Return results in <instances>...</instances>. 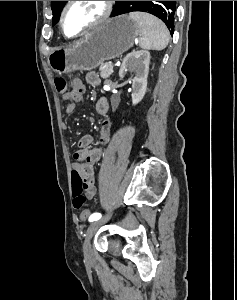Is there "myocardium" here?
<instances>
[{
	"label": "myocardium",
	"mask_w": 237,
	"mask_h": 300,
	"mask_svg": "<svg viewBox=\"0 0 237 300\" xmlns=\"http://www.w3.org/2000/svg\"><path fill=\"white\" fill-rule=\"evenodd\" d=\"M74 2L75 1H67L65 3V5L62 8V11H61V14H60V19H59V25H60L61 33L68 39H74V38L80 37V36L84 35L85 33H87L89 31L101 26L102 24H104L111 16L112 11H113V4H114V1H102L103 10H102V13L100 14V16L96 20L91 22L89 25L84 27L77 34L68 35L65 31V28H64V21H65V16H66V13H67L68 9L70 8V6Z\"/></svg>",
	"instance_id": "1"
}]
</instances>
